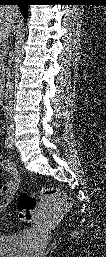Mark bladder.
<instances>
[{"instance_id": "bladder-1", "label": "bladder", "mask_w": 106, "mask_h": 257, "mask_svg": "<svg viewBox=\"0 0 106 257\" xmlns=\"http://www.w3.org/2000/svg\"><path fill=\"white\" fill-rule=\"evenodd\" d=\"M31 233L27 230L0 237V255L2 257H27Z\"/></svg>"}]
</instances>
